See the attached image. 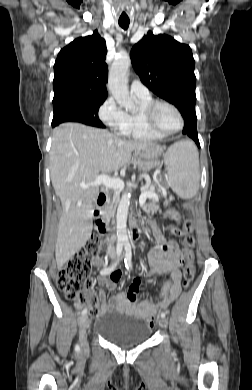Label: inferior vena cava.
I'll list each match as a JSON object with an SVG mask.
<instances>
[{"label": "inferior vena cava", "instance_id": "1", "mask_svg": "<svg viewBox=\"0 0 252 390\" xmlns=\"http://www.w3.org/2000/svg\"><path fill=\"white\" fill-rule=\"evenodd\" d=\"M107 250H108V252H114L115 247H114L113 243L108 242Z\"/></svg>", "mask_w": 252, "mask_h": 390}]
</instances>
